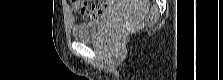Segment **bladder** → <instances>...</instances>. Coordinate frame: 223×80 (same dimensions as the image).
Returning a JSON list of instances; mask_svg holds the SVG:
<instances>
[{
    "label": "bladder",
    "mask_w": 223,
    "mask_h": 80,
    "mask_svg": "<svg viewBox=\"0 0 223 80\" xmlns=\"http://www.w3.org/2000/svg\"><path fill=\"white\" fill-rule=\"evenodd\" d=\"M114 9H109L102 18L89 23H80L72 27V36L78 41H96L100 38L105 21L113 14Z\"/></svg>",
    "instance_id": "31cf9c89"
}]
</instances>
